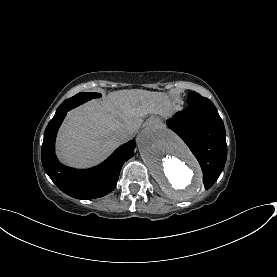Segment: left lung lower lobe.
<instances>
[{
  "label": "left lung lower lobe",
  "instance_id": "obj_1",
  "mask_svg": "<svg viewBox=\"0 0 277 277\" xmlns=\"http://www.w3.org/2000/svg\"><path fill=\"white\" fill-rule=\"evenodd\" d=\"M167 125L189 146L203 172L209 189L220 176L226 162V132L219 115L178 112Z\"/></svg>",
  "mask_w": 277,
  "mask_h": 277
}]
</instances>
